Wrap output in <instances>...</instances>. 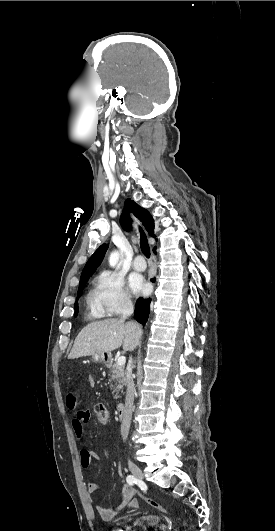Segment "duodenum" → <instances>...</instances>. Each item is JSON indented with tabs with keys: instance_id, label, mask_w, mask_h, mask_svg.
<instances>
[{
	"instance_id": "410a0bca",
	"label": "duodenum",
	"mask_w": 275,
	"mask_h": 531,
	"mask_svg": "<svg viewBox=\"0 0 275 531\" xmlns=\"http://www.w3.org/2000/svg\"><path fill=\"white\" fill-rule=\"evenodd\" d=\"M106 362H107V363L110 362V359H109L108 356L106 357ZM117 412H118V416H119L121 419L124 418V416H125V412H126V407H125V404H124V403H120V404L117 406Z\"/></svg>"
}]
</instances>
